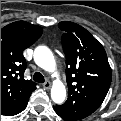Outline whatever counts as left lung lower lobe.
I'll list each match as a JSON object with an SVG mask.
<instances>
[{
	"instance_id": "0a47b994",
	"label": "left lung lower lobe",
	"mask_w": 121,
	"mask_h": 121,
	"mask_svg": "<svg viewBox=\"0 0 121 121\" xmlns=\"http://www.w3.org/2000/svg\"><path fill=\"white\" fill-rule=\"evenodd\" d=\"M54 107V110L55 112L61 117L64 119V116L59 112L58 108H57V105L56 106H53Z\"/></svg>"
}]
</instances>
